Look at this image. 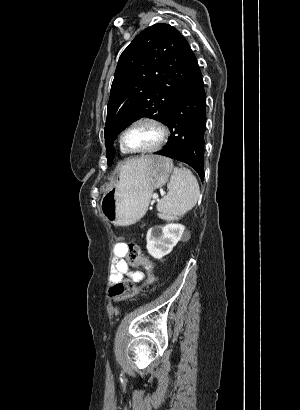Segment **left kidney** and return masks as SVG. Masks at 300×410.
<instances>
[{"label":"left kidney","instance_id":"1","mask_svg":"<svg viewBox=\"0 0 300 410\" xmlns=\"http://www.w3.org/2000/svg\"><path fill=\"white\" fill-rule=\"evenodd\" d=\"M184 230L185 226L174 223L150 228L146 236L148 253L156 259L169 254L181 240Z\"/></svg>","mask_w":300,"mask_h":410}]
</instances>
